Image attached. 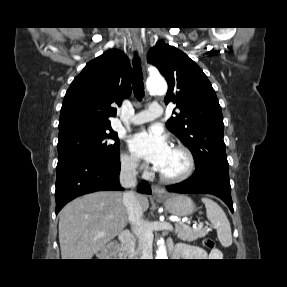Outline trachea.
Masks as SVG:
<instances>
[{
	"instance_id": "1",
	"label": "trachea",
	"mask_w": 287,
	"mask_h": 287,
	"mask_svg": "<svg viewBox=\"0 0 287 287\" xmlns=\"http://www.w3.org/2000/svg\"><path fill=\"white\" fill-rule=\"evenodd\" d=\"M132 89L138 100L144 97L143 75L141 72L140 58L138 56H135L133 59Z\"/></svg>"
}]
</instances>
